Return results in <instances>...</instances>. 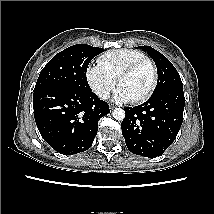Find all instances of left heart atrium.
<instances>
[{
    "label": "left heart atrium",
    "instance_id": "39dd6f15",
    "mask_svg": "<svg viewBox=\"0 0 214 214\" xmlns=\"http://www.w3.org/2000/svg\"><path fill=\"white\" fill-rule=\"evenodd\" d=\"M114 98L118 102H129L133 100L132 97L121 87H119L115 92Z\"/></svg>",
    "mask_w": 214,
    "mask_h": 214
}]
</instances>
